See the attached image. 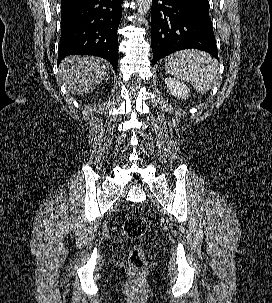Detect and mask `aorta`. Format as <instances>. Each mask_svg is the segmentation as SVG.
Listing matches in <instances>:
<instances>
[{"instance_id": "762f6f07", "label": "aorta", "mask_w": 272, "mask_h": 303, "mask_svg": "<svg viewBox=\"0 0 272 303\" xmlns=\"http://www.w3.org/2000/svg\"><path fill=\"white\" fill-rule=\"evenodd\" d=\"M138 3V13L141 16H144L146 13H148L152 0H137Z\"/></svg>"}]
</instances>
